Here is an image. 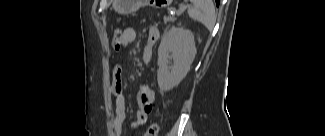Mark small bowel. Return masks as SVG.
Masks as SVG:
<instances>
[{
    "instance_id": "1",
    "label": "small bowel",
    "mask_w": 325,
    "mask_h": 136,
    "mask_svg": "<svg viewBox=\"0 0 325 136\" xmlns=\"http://www.w3.org/2000/svg\"><path fill=\"white\" fill-rule=\"evenodd\" d=\"M123 45H128L136 39V31L132 27L121 29ZM159 38V31L156 27L148 30L147 40L143 49L142 59L149 63L152 58V47ZM123 73L124 67L121 64H115L113 67L112 93L115 98V116L112 121V128L115 135L120 136L124 130L126 120V96L123 92ZM154 98L153 90L146 84H142L138 90L137 105L138 111L136 120L131 124V129L136 130L145 125L152 110Z\"/></svg>"
}]
</instances>
